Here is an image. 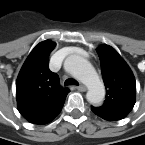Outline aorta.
<instances>
[{
	"mask_svg": "<svg viewBox=\"0 0 145 145\" xmlns=\"http://www.w3.org/2000/svg\"><path fill=\"white\" fill-rule=\"evenodd\" d=\"M65 64L67 70L87 86L86 98L88 102L100 104L105 97V87L93 66L78 55L68 57Z\"/></svg>",
	"mask_w": 145,
	"mask_h": 145,
	"instance_id": "obj_1",
	"label": "aorta"
}]
</instances>
